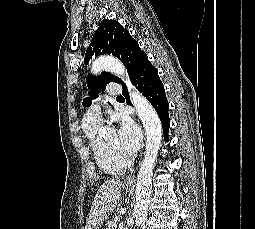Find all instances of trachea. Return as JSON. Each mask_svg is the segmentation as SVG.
<instances>
[{
    "label": "trachea",
    "instance_id": "trachea-1",
    "mask_svg": "<svg viewBox=\"0 0 255 229\" xmlns=\"http://www.w3.org/2000/svg\"><path fill=\"white\" fill-rule=\"evenodd\" d=\"M117 98H122V96H118Z\"/></svg>",
    "mask_w": 255,
    "mask_h": 229
}]
</instances>
